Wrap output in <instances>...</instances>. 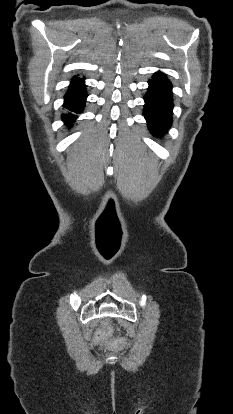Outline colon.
Segmentation results:
<instances>
[{"label": "colon", "mask_w": 233, "mask_h": 414, "mask_svg": "<svg viewBox=\"0 0 233 414\" xmlns=\"http://www.w3.org/2000/svg\"><path fill=\"white\" fill-rule=\"evenodd\" d=\"M110 332V325L108 323H105L102 327V330L97 338L98 342H100L102 340L103 337H105L106 335H108Z\"/></svg>", "instance_id": "colon-1"}]
</instances>
